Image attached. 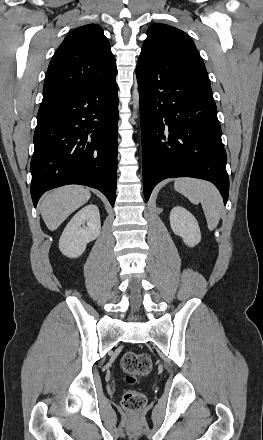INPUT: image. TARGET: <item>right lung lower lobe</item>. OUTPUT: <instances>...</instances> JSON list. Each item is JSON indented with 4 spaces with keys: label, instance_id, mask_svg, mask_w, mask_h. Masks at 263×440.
Returning a JSON list of instances; mask_svg holds the SVG:
<instances>
[{
    "label": "right lung lower lobe",
    "instance_id": "obj_1",
    "mask_svg": "<svg viewBox=\"0 0 263 440\" xmlns=\"http://www.w3.org/2000/svg\"><path fill=\"white\" fill-rule=\"evenodd\" d=\"M115 78L40 106L31 160L35 207L44 192L67 184L96 188L114 206L119 103Z\"/></svg>",
    "mask_w": 263,
    "mask_h": 440
}]
</instances>
